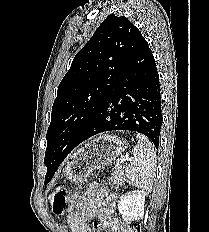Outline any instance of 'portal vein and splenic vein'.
Returning <instances> with one entry per match:
<instances>
[{
  "mask_svg": "<svg viewBox=\"0 0 209 232\" xmlns=\"http://www.w3.org/2000/svg\"><path fill=\"white\" fill-rule=\"evenodd\" d=\"M131 160H132V158L129 157V156L123 157V158H121V159H119V160L117 161L116 167H117V166H121L124 162H126V161H131Z\"/></svg>",
  "mask_w": 209,
  "mask_h": 232,
  "instance_id": "portal-vein-and-splenic-vein-1",
  "label": "portal vein and splenic vein"
}]
</instances>
